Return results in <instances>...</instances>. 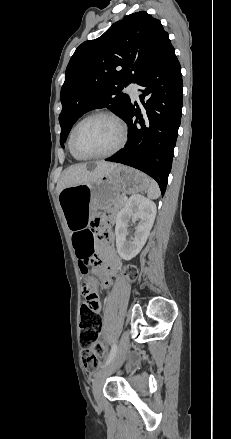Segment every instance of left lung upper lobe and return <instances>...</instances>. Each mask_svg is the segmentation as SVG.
Instances as JSON below:
<instances>
[{"label": "left lung upper lobe", "mask_w": 231, "mask_h": 439, "mask_svg": "<svg viewBox=\"0 0 231 439\" xmlns=\"http://www.w3.org/2000/svg\"><path fill=\"white\" fill-rule=\"evenodd\" d=\"M171 46L160 21L145 11L127 15L99 38L83 42L69 61L61 88V142L90 110L107 107L122 117L131 103L123 87L137 83Z\"/></svg>", "instance_id": "left-lung-upper-lobe-1"}]
</instances>
